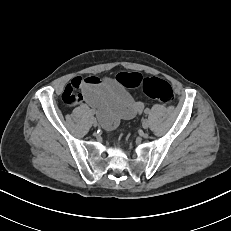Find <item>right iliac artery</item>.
Listing matches in <instances>:
<instances>
[{"mask_svg": "<svg viewBox=\"0 0 231 231\" xmlns=\"http://www.w3.org/2000/svg\"><path fill=\"white\" fill-rule=\"evenodd\" d=\"M90 114L93 116L95 114V112L93 110H91Z\"/></svg>", "mask_w": 231, "mask_h": 231, "instance_id": "82829eb1", "label": "right iliac artery"}]
</instances>
